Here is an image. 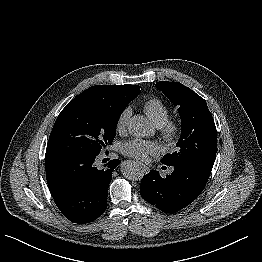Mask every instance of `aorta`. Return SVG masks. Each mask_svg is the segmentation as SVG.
Listing matches in <instances>:
<instances>
[{
	"instance_id": "aorta-1",
	"label": "aorta",
	"mask_w": 262,
	"mask_h": 262,
	"mask_svg": "<svg viewBox=\"0 0 262 262\" xmlns=\"http://www.w3.org/2000/svg\"><path fill=\"white\" fill-rule=\"evenodd\" d=\"M128 131L135 137H147L154 133L151 123L143 116L135 115L128 122ZM122 174L129 180H141L144 176L143 167L131 160L122 162Z\"/></svg>"
}]
</instances>
